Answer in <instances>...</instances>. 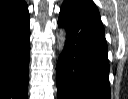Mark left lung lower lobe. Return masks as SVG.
Here are the masks:
<instances>
[{
    "instance_id": "0a47b994",
    "label": "left lung lower lobe",
    "mask_w": 128,
    "mask_h": 99,
    "mask_svg": "<svg viewBox=\"0 0 128 99\" xmlns=\"http://www.w3.org/2000/svg\"><path fill=\"white\" fill-rule=\"evenodd\" d=\"M58 25L67 31L56 68L58 99H110L108 49L94 2L65 0Z\"/></svg>"
}]
</instances>
